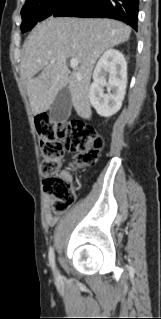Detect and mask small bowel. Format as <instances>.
Returning <instances> with one entry per match:
<instances>
[{"mask_svg":"<svg viewBox=\"0 0 161 319\" xmlns=\"http://www.w3.org/2000/svg\"><path fill=\"white\" fill-rule=\"evenodd\" d=\"M65 175H67V173H64ZM52 201V196L50 195H46L45 196V207H44V213H45V218H46V222L48 225L53 226L57 223L58 221V217L55 216L54 214H52L51 210H50V204Z\"/></svg>","mask_w":161,"mask_h":319,"instance_id":"small-bowel-1","label":"small bowel"}]
</instances>
